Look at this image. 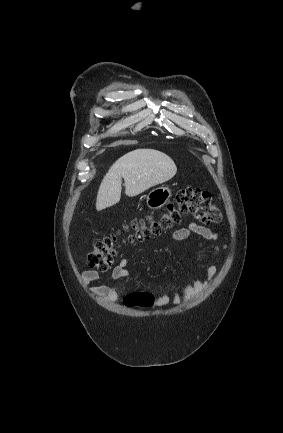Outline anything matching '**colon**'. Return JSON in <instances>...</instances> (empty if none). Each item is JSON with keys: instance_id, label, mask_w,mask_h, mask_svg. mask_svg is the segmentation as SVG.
Instances as JSON below:
<instances>
[{"instance_id": "colon-1", "label": "colon", "mask_w": 283, "mask_h": 433, "mask_svg": "<svg viewBox=\"0 0 283 433\" xmlns=\"http://www.w3.org/2000/svg\"><path fill=\"white\" fill-rule=\"evenodd\" d=\"M185 214L194 216L200 222L211 225L222 221L219 208L213 203L210 194L198 188L180 189L175 199L168 203L166 209L157 217L136 219L124 227L128 232V242H144L160 235L163 231L180 222ZM118 234L103 236L89 252L87 261L90 267L100 271L109 270L117 252ZM130 307L148 308L155 304V298L146 292H135L125 298Z\"/></svg>"}]
</instances>
